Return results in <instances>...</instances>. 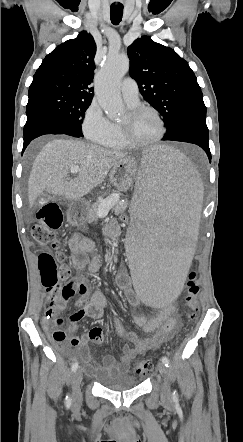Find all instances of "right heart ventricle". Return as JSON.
<instances>
[{"mask_svg":"<svg viewBox=\"0 0 243 442\" xmlns=\"http://www.w3.org/2000/svg\"><path fill=\"white\" fill-rule=\"evenodd\" d=\"M130 106L134 107L136 105H130ZM99 143H101L104 146L116 149H124L127 147L121 139L120 128L118 123H111L110 133Z\"/></svg>","mask_w":243,"mask_h":442,"instance_id":"obj_1","label":"right heart ventricle"}]
</instances>
